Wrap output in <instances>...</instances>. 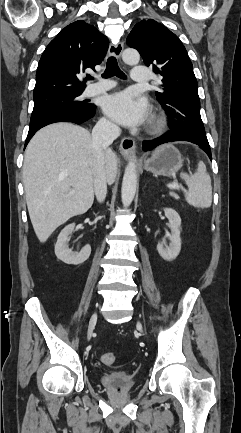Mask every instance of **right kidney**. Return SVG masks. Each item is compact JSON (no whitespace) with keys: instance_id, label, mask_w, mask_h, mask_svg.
Masks as SVG:
<instances>
[{"instance_id":"ca27d5eb","label":"right kidney","mask_w":241,"mask_h":433,"mask_svg":"<svg viewBox=\"0 0 241 433\" xmlns=\"http://www.w3.org/2000/svg\"><path fill=\"white\" fill-rule=\"evenodd\" d=\"M75 224H69L66 226L59 234L57 238V242L55 244V255L59 260L66 264L79 265L85 262L90 254L91 247L90 245H86L82 248L80 252H73L67 246V241L69 236L74 231Z\"/></svg>"}]
</instances>
